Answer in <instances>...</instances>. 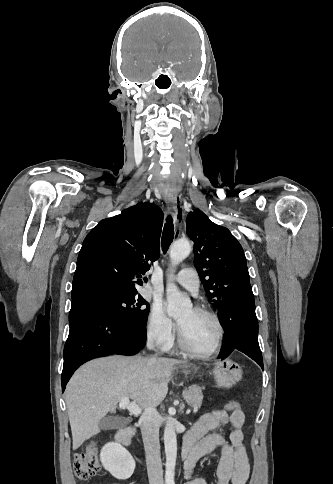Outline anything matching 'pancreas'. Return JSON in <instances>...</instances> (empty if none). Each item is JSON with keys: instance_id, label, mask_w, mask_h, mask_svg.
<instances>
[{"instance_id": "obj_1", "label": "pancreas", "mask_w": 333, "mask_h": 484, "mask_svg": "<svg viewBox=\"0 0 333 484\" xmlns=\"http://www.w3.org/2000/svg\"><path fill=\"white\" fill-rule=\"evenodd\" d=\"M203 387L192 385L183 392V397L187 404L193 408H199L202 404Z\"/></svg>"}]
</instances>
